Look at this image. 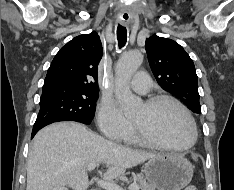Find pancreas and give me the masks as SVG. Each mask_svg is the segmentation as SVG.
I'll list each match as a JSON object with an SVG mask.
<instances>
[{"label":"pancreas","mask_w":234,"mask_h":190,"mask_svg":"<svg viewBox=\"0 0 234 190\" xmlns=\"http://www.w3.org/2000/svg\"><path fill=\"white\" fill-rule=\"evenodd\" d=\"M133 180L135 184H138L142 190H155V188L148 184L146 179L143 178L141 174H134Z\"/></svg>","instance_id":"obj_1"}]
</instances>
